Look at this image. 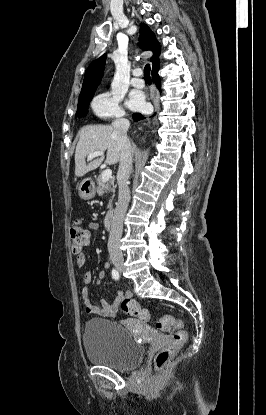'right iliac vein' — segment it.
<instances>
[{
	"label": "right iliac vein",
	"mask_w": 266,
	"mask_h": 415,
	"mask_svg": "<svg viewBox=\"0 0 266 415\" xmlns=\"http://www.w3.org/2000/svg\"><path fill=\"white\" fill-rule=\"evenodd\" d=\"M113 264L118 271L122 272L124 270V263L122 259L120 258L113 259Z\"/></svg>",
	"instance_id": "obj_1"
}]
</instances>
